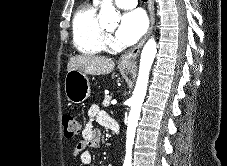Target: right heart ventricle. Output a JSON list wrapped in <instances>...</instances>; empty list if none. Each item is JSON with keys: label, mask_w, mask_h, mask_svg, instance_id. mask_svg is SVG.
I'll return each instance as SVG.
<instances>
[{"label": "right heart ventricle", "mask_w": 227, "mask_h": 166, "mask_svg": "<svg viewBox=\"0 0 227 166\" xmlns=\"http://www.w3.org/2000/svg\"><path fill=\"white\" fill-rule=\"evenodd\" d=\"M97 1L79 7L72 20L73 45L78 52L96 55L106 46V39L97 16Z\"/></svg>", "instance_id": "e07e8e85"}]
</instances>
